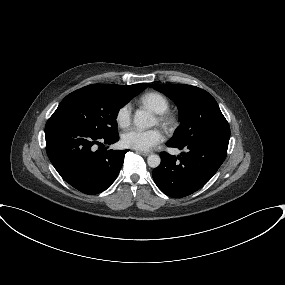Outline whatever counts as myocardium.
I'll list each match as a JSON object with an SVG mask.
<instances>
[{
	"instance_id": "myocardium-1",
	"label": "myocardium",
	"mask_w": 285,
	"mask_h": 285,
	"mask_svg": "<svg viewBox=\"0 0 285 285\" xmlns=\"http://www.w3.org/2000/svg\"><path fill=\"white\" fill-rule=\"evenodd\" d=\"M157 122L168 131H173L178 125L177 117L168 111L158 114Z\"/></svg>"
}]
</instances>
